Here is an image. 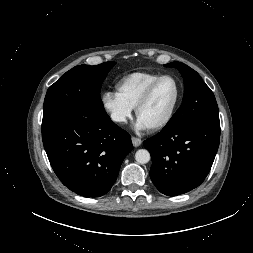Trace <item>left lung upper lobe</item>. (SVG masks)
Returning a JSON list of instances; mask_svg holds the SVG:
<instances>
[{"label":"left lung upper lobe","instance_id":"obj_1","mask_svg":"<svg viewBox=\"0 0 253 253\" xmlns=\"http://www.w3.org/2000/svg\"><path fill=\"white\" fill-rule=\"evenodd\" d=\"M164 66L174 67L180 71L184 79V96L182 105L163 130L175 129L197 121L219 122L215 96L199 74L181 62H172Z\"/></svg>","mask_w":253,"mask_h":253}]
</instances>
